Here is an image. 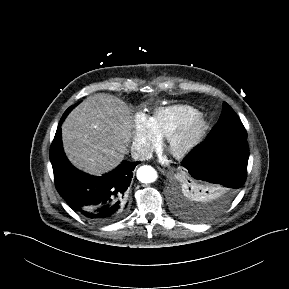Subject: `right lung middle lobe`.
<instances>
[{"label":"right lung middle lobe","instance_id":"dd1d6c3e","mask_svg":"<svg viewBox=\"0 0 289 289\" xmlns=\"http://www.w3.org/2000/svg\"><path fill=\"white\" fill-rule=\"evenodd\" d=\"M74 107H75V105L69 107V108L65 111V113L63 114L62 117L65 118V117L68 115V113H69Z\"/></svg>","mask_w":289,"mask_h":289}]
</instances>
